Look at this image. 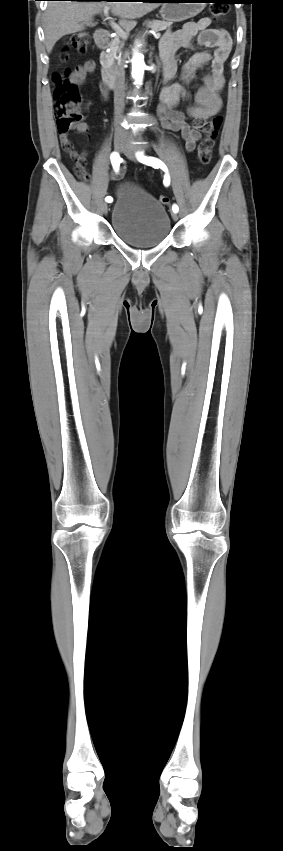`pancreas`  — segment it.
Wrapping results in <instances>:
<instances>
[{"instance_id": "1", "label": "pancreas", "mask_w": 283, "mask_h": 851, "mask_svg": "<svg viewBox=\"0 0 283 851\" xmlns=\"http://www.w3.org/2000/svg\"><path fill=\"white\" fill-rule=\"evenodd\" d=\"M171 25H172V23H170V22L157 21V20H156V21H153L152 23H149V25H148V26H149V27H150L153 31H155V32H159V31H164V30L169 31V30L171 29ZM122 46H123V42H122V41H120L119 39H117V38H116V39H114V40L112 41V43H111V45H110V52H109V53H104V54L100 57L101 65H102L104 68L111 67V66H113V65L115 64V61H119V60H120V57L118 56V53H121V48H122Z\"/></svg>"}]
</instances>
